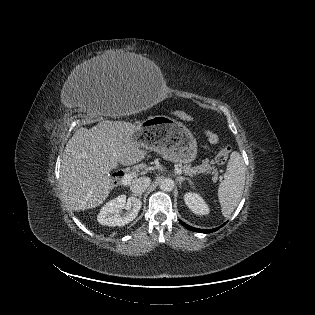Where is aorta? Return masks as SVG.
Listing matches in <instances>:
<instances>
[{
  "label": "aorta",
  "instance_id": "1",
  "mask_svg": "<svg viewBox=\"0 0 315 315\" xmlns=\"http://www.w3.org/2000/svg\"><path fill=\"white\" fill-rule=\"evenodd\" d=\"M174 181L171 178H164L160 182V189L163 191H172L174 188Z\"/></svg>",
  "mask_w": 315,
  "mask_h": 315
}]
</instances>
